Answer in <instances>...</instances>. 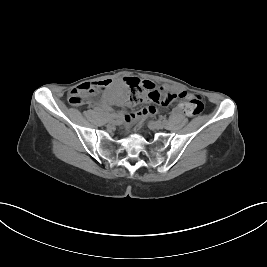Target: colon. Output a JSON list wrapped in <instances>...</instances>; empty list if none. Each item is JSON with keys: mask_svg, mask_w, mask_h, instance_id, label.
Wrapping results in <instances>:
<instances>
[{"mask_svg": "<svg viewBox=\"0 0 267 267\" xmlns=\"http://www.w3.org/2000/svg\"><path fill=\"white\" fill-rule=\"evenodd\" d=\"M125 85L129 90L126 97V103L129 105H136L143 101H148L150 103L167 106L175 99L173 94L154 88L153 84L147 80L128 78ZM100 87L104 88L105 84H102ZM89 91H91V88L88 83H84L72 89L68 95L69 103L75 106L81 105ZM181 97L185 99L183 111L186 115L197 116L203 111L204 102L200 96L187 94L185 92Z\"/></svg>", "mask_w": 267, "mask_h": 267, "instance_id": "obj_1", "label": "colon"}]
</instances>
